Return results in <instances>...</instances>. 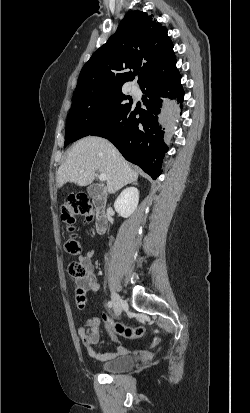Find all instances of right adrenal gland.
I'll list each match as a JSON object with an SVG mask.
<instances>
[{
  "mask_svg": "<svg viewBox=\"0 0 250 413\" xmlns=\"http://www.w3.org/2000/svg\"><path fill=\"white\" fill-rule=\"evenodd\" d=\"M133 184H134V185H137V182L135 181Z\"/></svg>",
  "mask_w": 250,
  "mask_h": 413,
  "instance_id": "2a0ac1e0",
  "label": "right adrenal gland"
}]
</instances>
